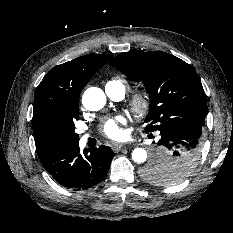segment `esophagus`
<instances>
[{
    "label": "esophagus",
    "instance_id": "obj_1",
    "mask_svg": "<svg viewBox=\"0 0 233 233\" xmlns=\"http://www.w3.org/2000/svg\"><path fill=\"white\" fill-rule=\"evenodd\" d=\"M124 147L123 143H114L112 149L114 152L120 151Z\"/></svg>",
    "mask_w": 233,
    "mask_h": 233
}]
</instances>
